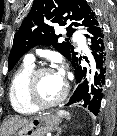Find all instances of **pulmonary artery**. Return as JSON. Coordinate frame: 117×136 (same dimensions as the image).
<instances>
[{"mask_svg":"<svg viewBox=\"0 0 117 136\" xmlns=\"http://www.w3.org/2000/svg\"><path fill=\"white\" fill-rule=\"evenodd\" d=\"M74 40L78 43V45L82 48L85 47V44H84V40L82 38L81 35H78V34H75L74 35ZM25 61H29V62H34V56L32 54H28L26 57H25Z\"/></svg>","mask_w":117,"mask_h":136,"instance_id":"1","label":"pulmonary artery"}]
</instances>
